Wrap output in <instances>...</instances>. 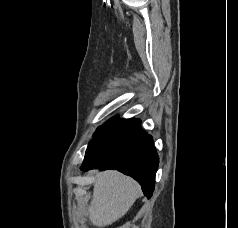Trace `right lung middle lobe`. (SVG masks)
<instances>
[{
  "label": "right lung middle lobe",
  "instance_id": "obj_1",
  "mask_svg": "<svg viewBox=\"0 0 238 228\" xmlns=\"http://www.w3.org/2000/svg\"><path fill=\"white\" fill-rule=\"evenodd\" d=\"M115 120H116V118H112V119H110L109 121H107L104 125H101V126L97 129V131L95 132L94 137H95L98 133H100L104 128H106L109 124H111L112 122H114Z\"/></svg>",
  "mask_w": 238,
  "mask_h": 228
}]
</instances>
